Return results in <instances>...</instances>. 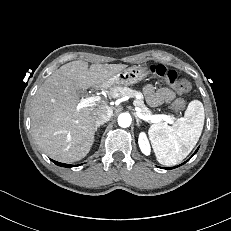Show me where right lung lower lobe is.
<instances>
[{"mask_svg": "<svg viewBox=\"0 0 231 231\" xmlns=\"http://www.w3.org/2000/svg\"><path fill=\"white\" fill-rule=\"evenodd\" d=\"M53 161V160H52ZM55 164H57L58 166H62V167H73V165H69V164H64V163H60V162H56L53 161Z\"/></svg>", "mask_w": 231, "mask_h": 231, "instance_id": "1", "label": "right lung lower lobe"}]
</instances>
